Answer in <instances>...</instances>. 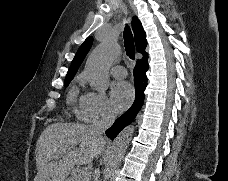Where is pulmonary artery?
I'll return each instance as SVG.
<instances>
[{
	"label": "pulmonary artery",
	"mask_w": 228,
	"mask_h": 181,
	"mask_svg": "<svg viewBox=\"0 0 228 181\" xmlns=\"http://www.w3.org/2000/svg\"><path fill=\"white\" fill-rule=\"evenodd\" d=\"M110 41H116V40L112 39ZM120 53H121V51H120ZM113 72L117 76V79H128V74H125L126 70L124 67L117 66L113 69Z\"/></svg>",
	"instance_id": "e3ab8cb5"
}]
</instances>
